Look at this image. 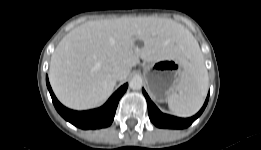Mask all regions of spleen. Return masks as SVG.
Instances as JSON below:
<instances>
[{"instance_id":"3e777b00","label":"spleen","mask_w":261,"mask_h":150,"mask_svg":"<svg viewBox=\"0 0 261 150\" xmlns=\"http://www.w3.org/2000/svg\"><path fill=\"white\" fill-rule=\"evenodd\" d=\"M188 62L176 90L167 98L168 107L176 116L190 117L202 107L208 90V72L198 45L187 50Z\"/></svg>"}]
</instances>
